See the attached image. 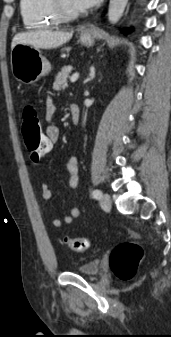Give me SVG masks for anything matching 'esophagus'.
Segmentation results:
<instances>
[{
    "instance_id": "esophagus-1",
    "label": "esophagus",
    "mask_w": 171,
    "mask_h": 337,
    "mask_svg": "<svg viewBox=\"0 0 171 337\" xmlns=\"http://www.w3.org/2000/svg\"><path fill=\"white\" fill-rule=\"evenodd\" d=\"M91 31H92V28L86 29V30L84 31V34H85V35H89V34L91 33Z\"/></svg>"
}]
</instances>
